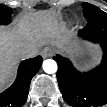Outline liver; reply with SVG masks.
<instances>
[{
  "label": "liver",
  "instance_id": "6515ba94",
  "mask_svg": "<svg viewBox=\"0 0 107 107\" xmlns=\"http://www.w3.org/2000/svg\"><path fill=\"white\" fill-rule=\"evenodd\" d=\"M64 26L58 15L51 11H38L23 15L10 29L0 30L1 87L9 83L16 71L22 49H39L44 45L61 46Z\"/></svg>",
  "mask_w": 107,
  "mask_h": 107
}]
</instances>
